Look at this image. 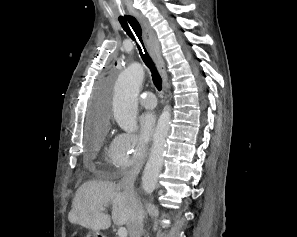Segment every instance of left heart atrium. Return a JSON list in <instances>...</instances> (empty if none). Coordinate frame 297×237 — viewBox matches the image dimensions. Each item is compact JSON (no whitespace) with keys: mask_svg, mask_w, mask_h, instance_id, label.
Listing matches in <instances>:
<instances>
[{"mask_svg":"<svg viewBox=\"0 0 297 237\" xmlns=\"http://www.w3.org/2000/svg\"><path fill=\"white\" fill-rule=\"evenodd\" d=\"M141 136L145 141L150 140L156 128V116L153 112H145L139 119Z\"/></svg>","mask_w":297,"mask_h":237,"instance_id":"left-heart-atrium-1","label":"left heart atrium"}]
</instances>
